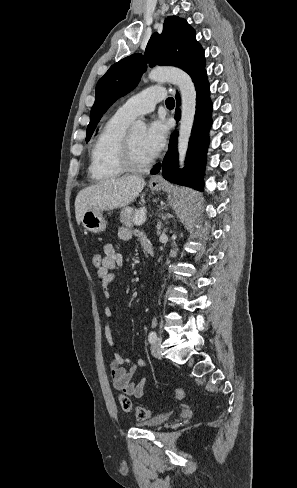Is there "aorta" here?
Here are the masks:
<instances>
[{
	"label": "aorta",
	"mask_w": 297,
	"mask_h": 488,
	"mask_svg": "<svg viewBox=\"0 0 297 488\" xmlns=\"http://www.w3.org/2000/svg\"><path fill=\"white\" fill-rule=\"evenodd\" d=\"M148 77L150 80L156 82H171L177 85L180 90L182 104L178 137V153L179 166L180 168H183L196 112L195 86L190 76L177 68L156 67L150 71ZM145 128L146 125L141 120L136 121L132 126L134 131H140Z\"/></svg>",
	"instance_id": "1"
}]
</instances>
